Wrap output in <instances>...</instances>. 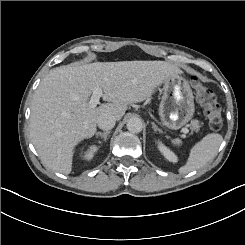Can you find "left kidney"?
<instances>
[{
	"mask_svg": "<svg viewBox=\"0 0 245 245\" xmlns=\"http://www.w3.org/2000/svg\"><path fill=\"white\" fill-rule=\"evenodd\" d=\"M155 142L157 149L167 161L172 163L179 162L178 155L174 151H172L167 145H165L162 139H156Z\"/></svg>",
	"mask_w": 245,
	"mask_h": 245,
	"instance_id": "obj_1",
	"label": "left kidney"
}]
</instances>
